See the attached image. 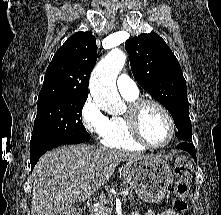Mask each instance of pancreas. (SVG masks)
Instances as JSON below:
<instances>
[{"instance_id": "1", "label": "pancreas", "mask_w": 221, "mask_h": 215, "mask_svg": "<svg viewBox=\"0 0 221 215\" xmlns=\"http://www.w3.org/2000/svg\"><path fill=\"white\" fill-rule=\"evenodd\" d=\"M121 189H125V190H127V191H130V194L128 195V199L134 200V195H133V193H132V191H131V188H129L128 186H125V184H123V185H121ZM99 200H100V203H101L100 206H104V204H105L106 202L110 201V197H106V196L102 195ZM90 215H99V214H97V213L94 211V209L91 208V209H90ZM105 215H110V213L107 212Z\"/></svg>"}]
</instances>
